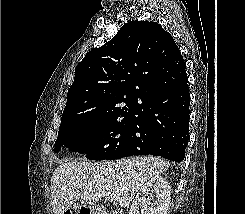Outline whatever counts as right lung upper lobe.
Instances as JSON below:
<instances>
[{
	"instance_id": "1",
	"label": "right lung upper lobe",
	"mask_w": 245,
	"mask_h": 214,
	"mask_svg": "<svg viewBox=\"0 0 245 214\" xmlns=\"http://www.w3.org/2000/svg\"><path fill=\"white\" fill-rule=\"evenodd\" d=\"M185 68L173 37L160 24L130 21L77 65L62 115L106 118L136 110L154 90L186 80Z\"/></svg>"
}]
</instances>
